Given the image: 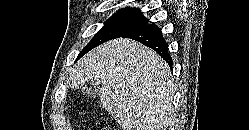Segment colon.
I'll use <instances>...</instances> for the list:
<instances>
[{
	"label": "colon",
	"mask_w": 249,
	"mask_h": 130,
	"mask_svg": "<svg viewBox=\"0 0 249 130\" xmlns=\"http://www.w3.org/2000/svg\"><path fill=\"white\" fill-rule=\"evenodd\" d=\"M101 130H111L105 121L101 122Z\"/></svg>",
	"instance_id": "colon-1"
}]
</instances>
